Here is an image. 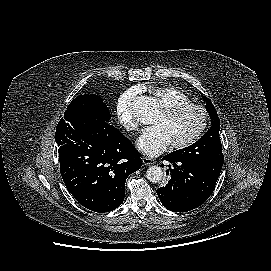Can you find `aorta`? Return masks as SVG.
Returning a JSON list of instances; mask_svg holds the SVG:
<instances>
[{"mask_svg":"<svg viewBox=\"0 0 271 271\" xmlns=\"http://www.w3.org/2000/svg\"><path fill=\"white\" fill-rule=\"evenodd\" d=\"M141 100L142 101L139 103L137 107L138 119H140L143 122H147L157 111V103L151 97H144ZM146 177L152 183H157L161 181L163 177L162 168L159 166L149 167L146 171Z\"/></svg>","mask_w":271,"mask_h":271,"instance_id":"obj_1","label":"aorta"}]
</instances>
